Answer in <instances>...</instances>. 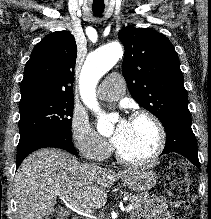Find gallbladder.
<instances>
[{
  "label": "gallbladder",
  "mask_w": 211,
  "mask_h": 219,
  "mask_svg": "<svg viewBox=\"0 0 211 219\" xmlns=\"http://www.w3.org/2000/svg\"><path fill=\"white\" fill-rule=\"evenodd\" d=\"M58 212H59L60 214H62V213H64V210L60 209V210H58Z\"/></svg>",
  "instance_id": "gallbladder-1"
}]
</instances>
